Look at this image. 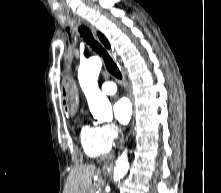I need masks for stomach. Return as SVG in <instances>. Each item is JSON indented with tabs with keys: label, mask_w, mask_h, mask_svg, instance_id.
Instances as JSON below:
<instances>
[{
	"label": "stomach",
	"mask_w": 221,
	"mask_h": 193,
	"mask_svg": "<svg viewBox=\"0 0 221 193\" xmlns=\"http://www.w3.org/2000/svg\"><path fill=\"white\" fill-rule=\"evenodd\" d=\"M78 98H61V107L62 109H65V112H68L69 114L71 112H78L79 107ZM74 164H81V159H74Z\"/></svg>",
	"instance_id": "0dacf381"
}]
</instances>
